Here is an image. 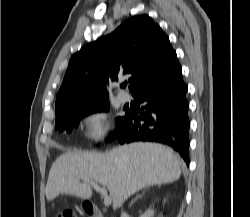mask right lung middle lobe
<instances>
[{
    "instance_id": "1",
    "label": "right lung middle lobe",
    "mask_w": 250,
    "mask_h": 217,
    "mask_svg": "<svg viewBox=\"0 0 250 217\" xmlns=\"http://www.w3.org/2000/svg\"><path fill=\"white\" fill-rule=\"evenodd\" d=\"M107 110H108V101H104L89 107L74 110L57 118L55 123V129H58L60 132L66 131L70 133L74 127L78 126L80 119L83 118L85 115L97 111H107ZM126 119H127V112L124 117L122 118L119 117L117 119V128L115 133L110 137V140L117 137Z\"/></svg>"
}]
</instances>
